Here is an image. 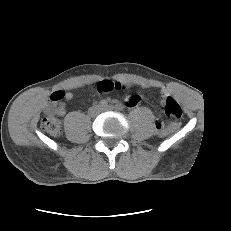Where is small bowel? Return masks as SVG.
I'll return each instance as SVG.
<instances>
[{"label": "small bowel", "instance_id": "c3829d8e", "mask_svg": "<svg viewBox=\"0 0 231 231\" xmlns=\"http://www.w3.org/2000/svg\"><path fill=\"white\" fill-rule=\"evenodd\" d=\"M116 82L119 83L123 88L127 87V82H125V81H116ZM55 93H59L60 94V99H58L56 101H51L50 107H55L56 114L59 115V116H63L65 114V106H64L63 101L71 100L73 98V94L71 92H64V91H57ZM163 96L164 97L167 96V92L166 91H163ZM138 101H139V99H138L137 96H134V95L133 96H129L127 98V105L129 107H135L138 104Z\"/></svg>", "mask_w": 231, "mask_h": 231}]
</instances>
